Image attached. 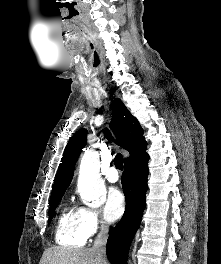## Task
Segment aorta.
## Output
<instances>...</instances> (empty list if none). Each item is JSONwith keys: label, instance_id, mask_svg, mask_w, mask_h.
Here are the masks:
<instances>
[{"label": "aorta", "instance_id": "762f6f07", "mask_svg": "<svg viewBox=\"0 0 221 264\" xmlns=\"http://www.w3.org/2000/svg\"><path fill=\"white\" fill-rule=\"evenodd\" d=\"M100 160L97 152H86L80 163L78 190L85 202H97L105 193V185L99 173Z\"/></svg>", "mask_w": 221, "mask_h": 264}]
</instances>
